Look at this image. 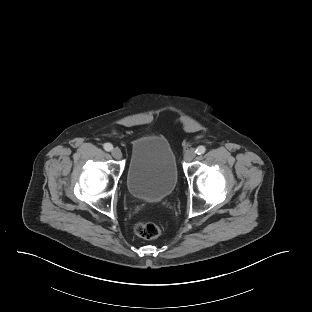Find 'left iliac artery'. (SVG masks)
Segmentation results:
<instances>
[{
    "instance_id": "left-iliac-artery-1",
    "label": "left iliac artery",
    "mask_w": 312,
    "mask_h": 312,
    "mask_svg": "<svg viewBox=\"0 0 312 312\" xmlns=\"http://www.w3.org/2000/svg\"><path fill=\"white\" fill-rule=\"evenodd\" d=\"M205 151H206L205 146H199V147H197V149H196L195 152H196L198 155H201V154H204Z\"/></svg>"
}]
</instances>
